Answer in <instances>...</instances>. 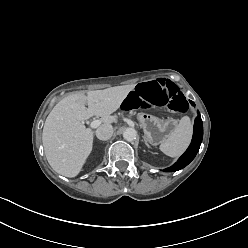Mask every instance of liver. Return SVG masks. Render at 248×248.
<instances>
[{"instance_id":"obj_1","label":"liver","mask_w":248,"mask_h":248,"mask_svg":"<svg viewBox=\"0 0 248 248\" xmlns=\"http://www.w3.org/2000/svg\"><path fill=\"white\" fill-rule=\"evenodd\" d=\"M135 87L115 86L104 90L78 91L59 101L46 118L42 143L50 166L65 177H75L82 170L93 147V131L83 122L92 116L104 124L116 121L114 113ZM88 105L86 107L85 105Z\"/></svg>"}]
</instances>
